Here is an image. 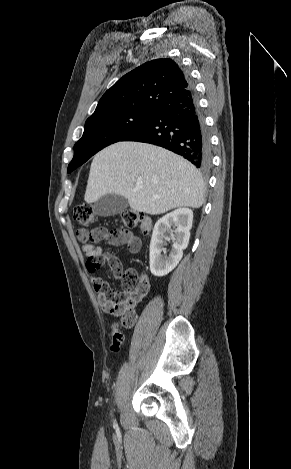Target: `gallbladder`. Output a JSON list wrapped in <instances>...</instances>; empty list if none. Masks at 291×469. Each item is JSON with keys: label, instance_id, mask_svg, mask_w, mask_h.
Returning a JSON list of instances; mask_svg holds the SVG:
<instances>
[{"label": "gallbladder", "instance_id": "gallbladder-1", "mask_svg": "<svg viewBox=\"0 0 291 469\" xmlns=\"http://www.w3.org/2000/svg\"><path fill=\"white\" fill-rule=\"evenodd\" d=\"M128 207V200L118 194H106L93 204V211L102 217L114 216L122 213Z\"/></svg>", "mask_w": 291, "mask_h": 469}]
</instances>
